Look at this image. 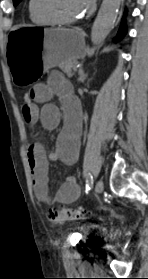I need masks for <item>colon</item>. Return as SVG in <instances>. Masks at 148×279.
Wrapping results in <instances>:
<instances>
[{
	"label": "colon",
	"instance_id": "5ec220e1",
	"mask_svg": "<svg viewBox=\"0 0 148 279\" xmlns=\"http://www.w3.org/2000/svg\"><path fill=\"white\" fill-rule=\"evenodd\" d=\"M33 94L29 89L24 93V104L29 105L32 102ZM86 215V211L80 209H51L47 212L48 218L56 223H61L67 220L81 218Z\"/></svg>",
	"mask_w": 148,
	"mask_h": 279
}]
</instances>
